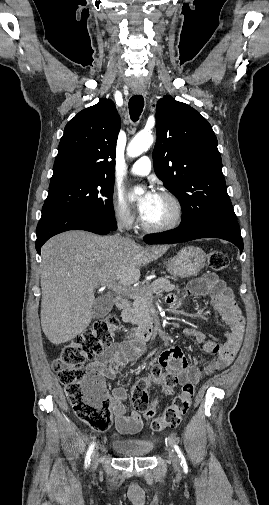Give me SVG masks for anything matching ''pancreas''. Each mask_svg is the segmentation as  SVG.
I'll use <instances>...</instances> for the list:
<instances>
[{"mask_svg": "<svg viewBox=\"0 0 269 505\" xmlns=\"http://www.w3.org/2000/svg\"><path fill=\"white\" fill-rule=\"evenodd\" d=\"M174 289L175 285L166 278H160L150 286L135 288L130 295V298L133 300L132 305L126 307L121 313L123 322L138 326L143 325L149 314L153 293L170 292Z\"/></svg>", "mask_w": 269, "mask_h": 505, "instance_id": "cf45deb5", "label": "pancreas"}]
</instances>
